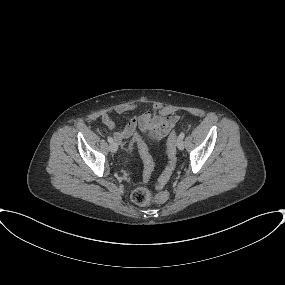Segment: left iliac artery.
I'll return each instance as SVG.
<instances>
[{
	"label": "left iliac artery",
	"instance_id": "left-iliac-artery-1",
	"mask_svg": "<svg viewBox=\"0 0 285 285\" xmlns=\"http://www.w3.org/2000/svg\"><path fill=\"white\" fill-rule=\"evenodd\" d=\"M179 137H180L181 139H183V138L185 137V134H184L183 132H181L180 135H179Z\"/></svg>",
	"mask_w": 285,
	"mask_h": 285
}]
</instances>
